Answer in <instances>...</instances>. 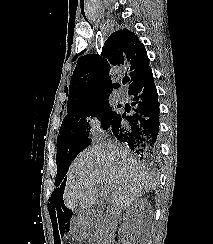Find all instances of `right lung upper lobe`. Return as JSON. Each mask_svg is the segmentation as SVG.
Masks as SVG:
<instances>
[{"label": "right lung upper lobe", "mask_w": 213, "mask_h": 244, "mask_svg": "<svg viewBox=\"0 0 213 244\" xmlns=\"http://www.w3.org/2000/svg\"><path fill=\"white\" fill-rule=\"evenodd\" d=\"M111 66H122L130 76L129 90L149 71V58L138 37L128 29L112 33L101 56L85 55L78 59L71 76L67 109L109 96L118 83L112 84Z\"/></svg>", "instance_id": "1"}]
</instances>
